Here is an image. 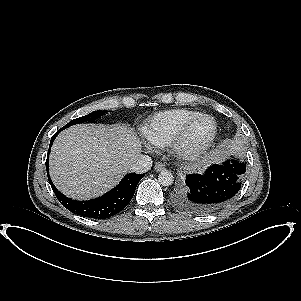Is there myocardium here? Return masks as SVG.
<instances>
[{
  "instance_id": "obj_1",
  "label": "myocardium",
  "mask_w": 301,
  "mask_h": 301,
  "mask_svg": "<svg viewBox=\"0 0 301 301\" xmlns=\"http://www.w3.org/2000/svg\"><path fill=\"white\" fill-rule=\"evenodd\" d=\"M207 119L212 123V131L210 135L199 145H190L187 138L192 127L199 121ZM217 135V122L211 115L199 114L188 123H186L170 143L172 152L180 159L186 161L196 160L203 156L211 147Z\"/></svg>"
}]
</instances>
